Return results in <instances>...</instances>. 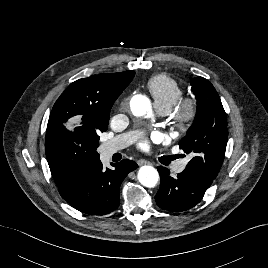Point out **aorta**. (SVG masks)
Wrapping results in <instances>:
<instances>
[{
	"label": "aorta",
	"mask_w": 268,
	"mask_h": 268,
	"mask_svg": "<svg viewBox=\"0 0 268 268\" xmlns=\"http://www.w3.org/2000/svg\"><path fill=\"white\" fill-rule=\"evenodd\" d=\"M133 115L136 117H151L153 115L150 100L144 95H135L130 101ZM139 182L148 188L155 187L159 181L158 171L149 165L142 166L137 174Z\"/></svg>",
	"instance_id": "aorta-1"
}]
</instances>
